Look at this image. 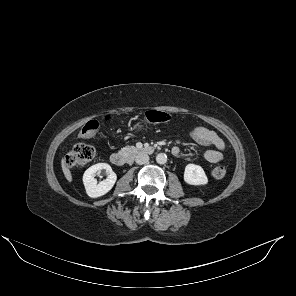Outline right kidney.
I'll list each match as a JSON object with an SVG mask.
<instances>
[{"label":"right kidney","mask_w":296,"mask_h":296,"mask_svg":"<svg viewBox=\"0 0 296 296\" xmlns=\"http://www.w3.org/2000/svg\"><path fill=\"white\" fill-rule=\"evenodd\" d=\"M105 169L108 176L100 183L94 178L97 171ZM117 180V175L112 171V168L107 163H98L89 167L83 175V183L86 193L91 198H97L108 193L114 186Z\"/></svg>","instance_id":"obj_1"}]
</instances>
